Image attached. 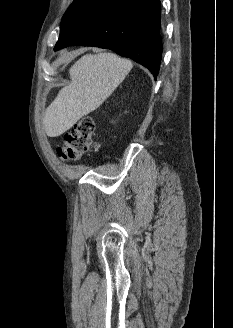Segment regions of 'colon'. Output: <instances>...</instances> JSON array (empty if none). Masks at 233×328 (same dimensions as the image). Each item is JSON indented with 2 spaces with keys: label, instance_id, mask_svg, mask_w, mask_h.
Masks as SVG:
<instances>
[{
  "label": "colon",
  "instance_id": "1",
  "mask_svg": "<svg viewBox=\"0 0 233 328\" xmlns=\"http://www.w3.org/2000/svg\"><path fill=\"white\" fill-rule=\"evenodd\" d=\"M95 123L91 117L85 116L64 134L62 145L57 148L63 160H75L90 153L95 148Z\"/></svg>",
  "mask_w": 233,
  "mask_h": 328
}]
</instances>
